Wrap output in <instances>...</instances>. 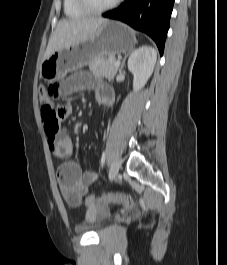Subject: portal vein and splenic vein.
Instances as JSON below:
<instances>
[{"label":"portal vein and splenic vein","instance_id":"1","mask_svg":"<svg viewBox=\"0 0 227 265\" xmlns=\"http://www.w3.org/2000/svg\"><path fill=\"white\" fill-rule=\"evenodd\" d=\"M119 64H120V61L117 60V61L115 62V65L118 66Z\"/></svg>","mask_w":227,"mask_h":265}]
</instances>
